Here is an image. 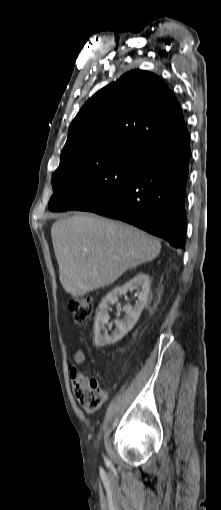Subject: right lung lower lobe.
Masks as SVG:
<instances>
[{
    "label": "right lung lower lobe",
    "mask_w": 221,
    "mask_h": 510,
    "mask_svg": "<svg viewBox=\"0 0 221 510\" xmlns=\"http://www.w3.org/2000/svg\"><path fill=\"white\" fill-rule=\"evenodd\" d=\"M190 154L188 132L152 146L122 190L80 210L125 221L167 240L175 248H183Z\"/></svg>",
    "instance_id": "98d812e1"
}]
</instances>
